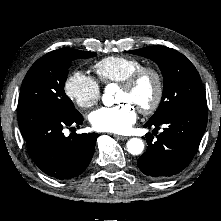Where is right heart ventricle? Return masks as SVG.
Returning <instances> with one entry per match:
<instances>
[{
  "label": "right heart ventricle",
  "instance_id": "1",
  "mask_svg": "<svg viewBox=\"0 0 221 221\" xmlns=\"http://www.w3.org/2000/svg\"><path fill=\"white\" fill-rule=\"evenodd\" d=\"M143 63L127 56H109L97 61L92 69L100 82L104 84L120 83Z\"/></svg>",
  "mask_w": 221,
  "mask_h": 221
}]
</instances>
